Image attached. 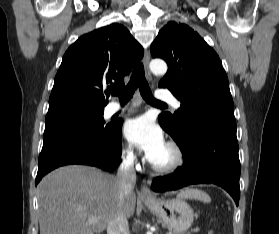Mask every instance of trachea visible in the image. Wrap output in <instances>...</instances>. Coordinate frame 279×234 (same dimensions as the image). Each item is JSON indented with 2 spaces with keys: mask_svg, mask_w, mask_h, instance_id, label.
<instances>
[{
  "mask_svg": "<svg viewBox=\"0 0 279 234\" xmlns=\"http://www.w3.org/2000/svg\"><path fill=\"white\" fill-rule=\"evenodd\" d=\"M137 87H139L140 94L147 103L166 106V104L153 97L150 87L145 79L144 67L142 63H139L134 68L127 86L122 89H112L111 93L118 96L121 102H128L132 98Z\"/></svg>",
  "mask_w": 279,
  "mask_h": 234,
  "instance_id": "1",
  "label": "trachea"
}]
</instances>
